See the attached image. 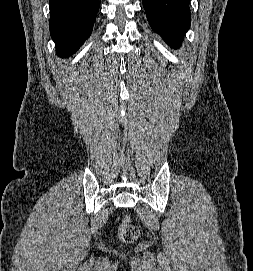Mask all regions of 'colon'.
<instances>
[{"instance_id":"5ec220e1","label":"colon","mask_w":253,"mask_h":271,"mask_svg":"<svg viewBox=\"0 0 253 271\" xmlns=\"http://www.w3.org/2000/svg\"><path fill=\"white\" fill-rule=\"evenodd\" d=\"M139 236V229L133 225L128 217L122 220L119 229V237L125 243L134 242Z\"/></svg>"}]
</instances>
